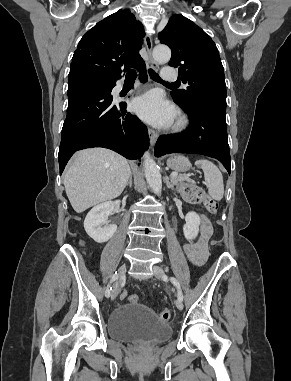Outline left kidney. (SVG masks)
<instances>
[{
	"mask_svg": "<svg viewBox=\"0 0 291 381\" xmlns=\"http://www.w3.org/2000/svg\"><path fill=\"white\" fill-rule=\"evenodd\" d=\"M183 226L184 236L187 240H193L199 233L200 217L195 212H188Z\"/></svg>",
	"mask_w": 291,
	"mask_h": 381,
	"instance_id": "1",
	"label": "left kidney"
}]
</instances>
